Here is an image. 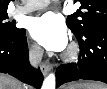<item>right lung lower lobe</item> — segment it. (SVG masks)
<instances>
[{
  "mask_svg": "<svg viewBox=\"0 0 107 89\" xmlns=\"http://www.w3.org/2000/svg\"><path fill=\"white\" fill-rule=\"evenodd\" d=\"M25 33V29H22L10 38L0 34V72L12 75L39 89L43 75L39 68L34 69L29 64Z\"/></svg>",
  "mask_w": 107,
  "mask_h": 89,
  "instance_id": "98d812e1",
  "label": "right lung lower lobe"
}]
</instances>
